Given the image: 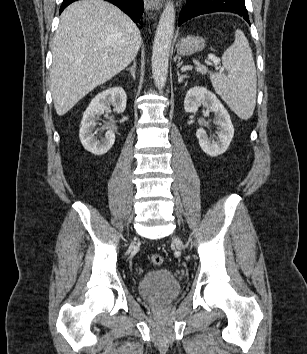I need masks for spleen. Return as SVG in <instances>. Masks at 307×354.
Returning a JSON list of instances; mask_svg holds the SVG:
<instances>
[{"label": "spleen", "mask_w": 307, "mask_h": 354, "mask_svg": "<svg viewBox=\"0 0 307 354\" xmlns=\"http://www.w3.org/2000/svg\"><path fill=\"white\" fill-rule=\"evenodd\" d=\"M223 67L230 72L213 73L204 66L196 70L207 72L215 91L242 120L249 119L254 112L257 94V76L252 50L244 33L236 30L234 43L222 55Z\"/></svg>", "instance_id": "1"}]
</instances>
